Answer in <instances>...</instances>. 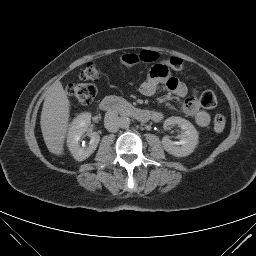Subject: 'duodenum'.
Wrapping results in <instances>:
<instances>
[{"instance_id":"duodenum-1","label":"duodenum","mask_w":256,"mask_h":256,"mask_svg":"<svg viewBox=\"0 0 256 256\" xmlns=\"http://www.w3.org/2000/svg\"><path fill=\"white\" fill-rule=\"evenodd\" d=\"M99 108L104 112L119 113L124 116L132 117L140 122H147L150 119H153V120L160 119L159 115L150 113L147 110L133 106L130 103L115 96H108L104 98L100 102Z\"/></svg>"}]
</instances>
